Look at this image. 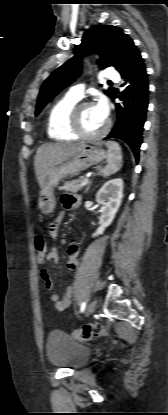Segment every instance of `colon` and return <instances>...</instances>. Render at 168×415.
Instances as JSON below:
<instances>
[{
    "label": "colon",
    "mask_w": 168,
    "mask_h": 415,
    "mask_svg": "<svg viewBox=\"0 0 168 415\" xmlns=\"http://www.w3.org/2000/svg\"><path fill=\"white\" fill-rule=\"evenodd\" d=\"M34 247L37 252V263L39 271H46L47 250L46 238L44 235H37L34 239ZM110 335L109 330L101 323H92L83 326L81 329L73 332V336L82 341H89L98 337H107Z\"/></svg>",
    "instance_id": "colon-1"
}]
</instances>
